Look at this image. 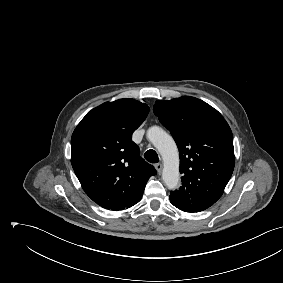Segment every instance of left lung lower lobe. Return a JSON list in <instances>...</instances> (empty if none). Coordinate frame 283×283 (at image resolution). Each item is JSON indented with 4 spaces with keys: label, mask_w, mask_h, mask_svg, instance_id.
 <instances>
[{
    "label": "left lung lower lobe",
    "mask_w": 283,
    "mask_h": 283,
    "mask_svg": "<svg viewBox=\"0 0 283 283\" xmlns=\"http://www.w3.org/2000/svg\"><path fill=\"white\" fill-rule=\"evenodd\" d=\"M169 199H170V202L178 209L184 211V212H190V213H194V211L189 208L188 206L180 203L179 201L175 200L174 198L170 197L169 196Z\"/></svg>",
    "instance_id": "0a47b994"
}]
</instances>
